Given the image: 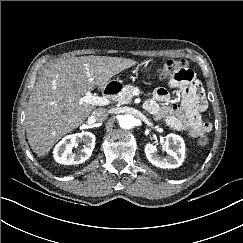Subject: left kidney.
<instances>
[{
  "instance_id": "left-kidney-1",
  "label": "left kidney",
  "mask_w": 243,
  "mask_h": 243,
  "mask_svg": "<svg viewBox=\"0 0 243 243\" xmlns=\"http://www.w3.org/2000/svg\"><path fill=\"white\" fill-rule=\"evenodd\" d=\"M144 151L148 161L151 164L163 169H174L181 166L185 158V143L182 137L170 133L166 136V157L160 156L156 146L151 143H147L145 145Z\"/></svg>"
}]
</instances>
